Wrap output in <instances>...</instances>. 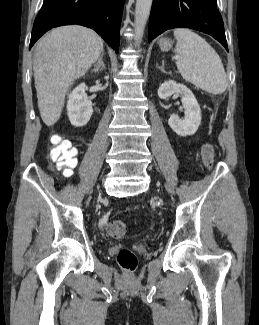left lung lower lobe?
Listing matches in <instances>:
<instances>
[{
	"instance_id": "1",
	"label": "left lung lower lobe",
	"mask_w": 259,
	"mask_h": 325,
	"mask_svg": "<svg viewBox=\"0 0 259 325\" xmlns=\"http://www.w3.org/2000/svg\"><path fill=\"white\" fill-rule=\"evenodd\" d=\"M172 28H190L207 33L228 51L217 0H153L148 30L149 42Z\"/></svg>"
}]
</instances>
